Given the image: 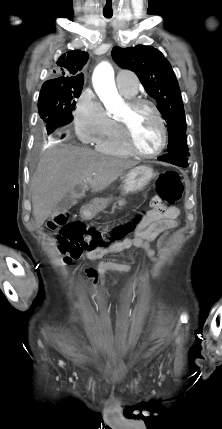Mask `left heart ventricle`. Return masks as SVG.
<instances>
[{
	"instance_id": "obj_1",
	"label": "left heart ventricle",
	"mask_w": 222,
	"mask_h": 429,
	"mask_svg": "<svg viewBox=\"0 0 222 429\" xmlns=\"http://www.w3.org/2000/svg\"><path fill=\"white\" fill-rule=\"evenodd\" d=\"M129 117L133 141L137 148L145 153L156 151L161 144V130L153 112L141 107L134 113H130L125 104L118 115Z\"/></svg>"
}]
</instances>
